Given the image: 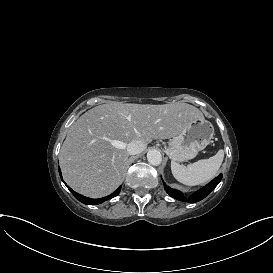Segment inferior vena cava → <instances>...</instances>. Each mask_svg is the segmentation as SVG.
Returning a JSON list of instances; mask_svg holds the SVG:
<instances>
[{"label": "inferior vena cava", "mask_w": 273, "mask_h": 273, "mask_svg": "<svg viewBox=\"0 0 273 273\" xmlns=\"http://www.w3.org/2000/svg\"><path fill=\"white\" fill-rule=\"evenodd\" d=\"M146 148L141 140H133L127 145V152L130 155L141 153Z\"/></svg>", "instance_id": "inferior-vena-cava-1"}]
</instances>
